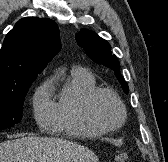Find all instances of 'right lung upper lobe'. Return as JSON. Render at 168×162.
Returning <instances> with one entry per match:
<instances>
[{"mask_svg":"<svg viewBox=\"0 0 168 162\" xmlns=\"http://www.w3.org/2000/svg\"><path fill=\"white\" fill-rule=\"evenodd\" d=\"M60 47L59 29L51 19L19 20L0 49V87L35 79Z\"/></svg>","mask_w":168,"mask_h":162,"instance_id":"1","label":"right lung upper lobe"}]
</instances>
